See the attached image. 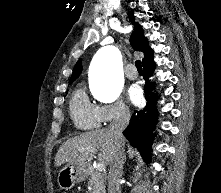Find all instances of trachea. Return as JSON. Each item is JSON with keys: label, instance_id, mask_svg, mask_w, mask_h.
<instances>
[{"label": "trachea", "instance_id": "obj_1", "mask_svg": "<svg viewBox=\"0 0 221 193\" xmlns=\"http://www.w3.org/2000/svg\"><path fill=\"white\" fill-rule=\"evenodd\" d=\"M135 66H136L138 72H142L141 61L137 60V61L135 62Z\"/></svg>", "mask_w": 221, "mask_h": 193}]
</instances>
